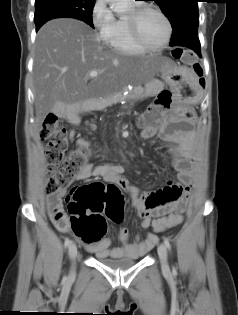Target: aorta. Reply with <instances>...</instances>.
I'll list each match as a JSON object with an SVG mask.
<instances>
[{
  "mask_svg": "<svg viewBox=\"0 0 238 315\" xmlns=\"http://www.w3.org/2000/svg\"><path fill=\"white\" fill-rule=\"evenodd\" d=\"M114 12L122 13L128 10V0H107Z\"/></svg>",
  "mask_w": 238,
  "mask_h": 315,
  "instance_id": "aorta-1",
  "label": "aorta"
}]
</instances>
